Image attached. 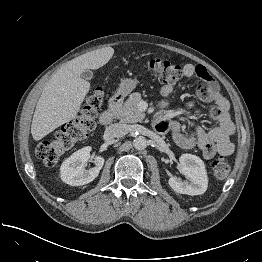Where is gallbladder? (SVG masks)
I'll return each instance as SVG.
<instances>
[{
	"mask_svg": "<svg viewBox=\"0 0 262 262\" xmlns=\"http://www.w3.org/2000/svg\"><path fill=\"white\" fill-rule=\"evenodd\" d=\"M81 76L85 79V80H91L93 78V72L89 69L84 70L81 73Z\"/></svg>",
	"mask_w": 262,
	"mask_h": 262,
	"instance_id": "obj_1",
	"label": "gallbladder"
}]
</instances>
